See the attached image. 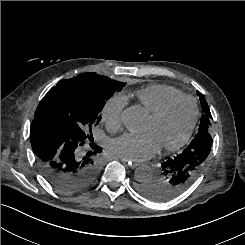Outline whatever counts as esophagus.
Instances as JSON below:
<instances>
[{
	"mask_svg": "<svg viewBox=\"0 0 245 245\" xmlns=\"http://www.w3.org/2000/svg\"><path fill=\"white\" fill-rule=\"evenodd\" d=\"M121 161L126 164L127 167L131 168V169H134L136 168L137 166H139V163L137 162H134L132 160H128V159H124V158H120Z\"/></svg>",
	"mask_w": 245,
	"mask_h": 245,
	"instance_id": "34e87169",
	"label": "esophagus"
}]
</instances>
